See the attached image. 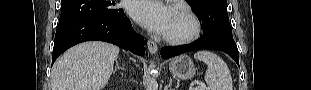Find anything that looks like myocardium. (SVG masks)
Returning a JSON list of instances; mask_svg holds the SVG:
<instances>
[{
    "label": "myocardium",
    "mask_w": 311,
    "mask_h": 90,
    "mask_svg": "<svg viewBox=\"0 0 311 90\" xmlns=\"http://www.w3.org/2000/svg\"><path fill=\"white\" fill-rule=\"evenodd\" d=\"M178 12L189 24V30L180 35H163V40L169 44L182 45L194 41L200 34L201 24L197 16L187 7H176Z\"/></svg>",
    "instance_id": "obj_1"
}]
</instances>
